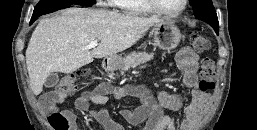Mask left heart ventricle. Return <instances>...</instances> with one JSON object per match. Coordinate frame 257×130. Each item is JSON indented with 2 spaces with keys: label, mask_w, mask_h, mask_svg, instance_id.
Segmentation results:
<instances>
[{
  "label": "left heart ventricle",
  "mask_w": 257,
  "mask_h": 130,
  "mask_svg": "<svg viewBox=\"0 0 257 130\" xmlns=\"http://www.w3.org/2000/svg\"><path fill=\"white\" fill-rule=\"evenodd\" d=\"M156 1L162 9L168 12L178 11L183 5V0H156Z\"/></svg>",
  "instance_id": "1"
}]
</instances>
